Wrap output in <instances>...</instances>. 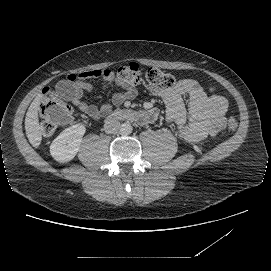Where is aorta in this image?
I'll return each instance as SVG.
<instances>
[{"label":"aorta","instance_id":"aorta-1","mask_svg":"<svg viewBox=\"0 0 271 271\" xmlns=\"http://www.w3.org/2000/svg\"><path fill=\"white\" fill-rule=\"evenodd\" d=\"M133 131V127L130 123L125 122L120 127V133L122 135H130Z\"/></svg>","mask_w":271,"mask_h":271}]
</instances>
